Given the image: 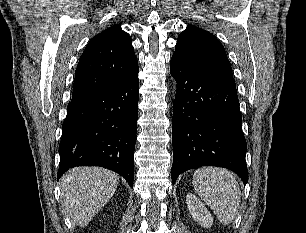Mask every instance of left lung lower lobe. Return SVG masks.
<instances>
[{
    "label": "left lung lower lobe",
    "mask_w": 306,
    "mask_h": 233,
    "mask_svg": "<svg viewBox=\"0 0 306 233\" xmlns=\"http://www.w3.org/2000/svg\"><path fill=\"white\" fill-rule=\"evenodd\" d=\"M177 80L172 123V183L180 173L200 166H219L248 181L247 144L233 78L196 69L172 56Z\"/></svg>",
    "instance_id": "left-lung-lower-lobe-1"
}]
</instances>
